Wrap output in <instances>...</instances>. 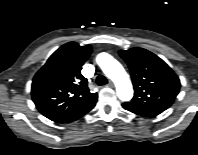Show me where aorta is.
I'll list each match as a JSON object with an SVG mask.
<instances>
[{"instance_id":"762f6f07","label":"aorta","mask_w":198,"mask_h":155,"mask_svg":"<svg viewBox=\"0 0 198 155\" xmlns=\"http://www.w3.org/2000/svg\"><path fill=\"white\" fill-rule=\"evenodd\" d=\"M96 61L104 74L114 82L118 98L121 101L131 100L133 87L123 66L108 53L98 54Z\"/></svg>"}]
</instances>
